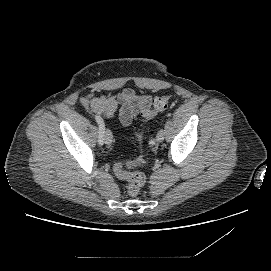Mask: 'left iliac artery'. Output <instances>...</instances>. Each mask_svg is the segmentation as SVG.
<instances>
[{
    "label": "left iliac artery",
    "mask_w": 271,
    "mask_h": 271,
    "mask_svg": "<svg viewBox=\"0 0 271 271\" xmlns=\"http://www.w3.org/2000/svg\"><path fill=\"white\" fill-rule=\"evenodd\" d=\"M149 144H150V145H155V139H151V140L149 141Z\"/></svg>",
    "instance_id": "1"
}]
</instances>
